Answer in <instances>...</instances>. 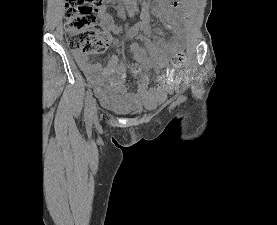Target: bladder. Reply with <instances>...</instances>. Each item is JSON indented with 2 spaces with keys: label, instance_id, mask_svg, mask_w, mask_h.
<instances>
[{
  "label": "bladder",
  "instance_id": "bladder-1",
  "mask_svg": "<svg viewBox=\"0 0 277 225\" xmlns=\"http://www.w3.org/2000/svg\"><path fill=\"white\" fill-rule=\"evenodd\" d=\"M110 108L120 114L134 115L144 112L146 109L136 103L113 104Z\"/></svg>",
  "mask_w": 277,
  "mask_h": 225
}]
</instances>
